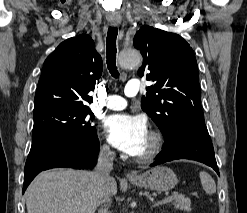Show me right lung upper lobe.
I'll list each match as a JSON object with an SVG mask.
<instances>
[{"instance_id":"right-lung-upper-lobe-1","label":"right lung upper lobe","mask_w":247,"mask_h":213,"mask_svg":"<svg viewBox=\"0 0 247 213\" xmlns=\"http://www.w3.org/2000/svg\"><path fill=\"white\" fill-rule=\"evenodd\" d=\"M103 70L101 56L88 35L59 44L45 60L35 94L34 111L52 105L88 107V93ZM89 108V107H88Z\"/></svg>"}]
</instances>
